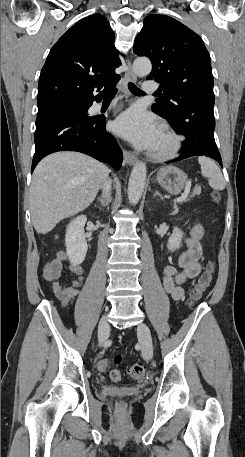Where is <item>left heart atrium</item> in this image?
I'll use <instances>...</instances> for the list:
<instances>
[{"instance_id":"39dd6f15","label":"left heart atrium","mask_w":245,"mask_h":457,"mask_svg":"<svg viewBox=\"0 0 245 457\" xmlns=\"http://www.w3.org/2000/svg\"><path fill=\"white\" fill-rule=\"evenodd\" d=\"M114 130L140 148L154 147L161 136L159 122L143 109H131L120 115Z\"/></svg>"}]
</instances>
